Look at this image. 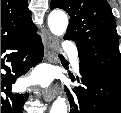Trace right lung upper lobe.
Listing matches in <instances>:
<instances>
[{
	"label": "right lung upper lobe",
	"instance_id": "obj_1",
	"mask_svg": "<svg viewBox=\"0 0 121 113\" xmlns=\"http://www.w3.org/2000/svg\"><path fill=\"white\" fill-rule=\"evenodd\" d=\"M35 30L28 0H1V45L13 42Z\"/></svg>",
	"mask_w": 121,
	"mask_h": 113
}]
</instances>
